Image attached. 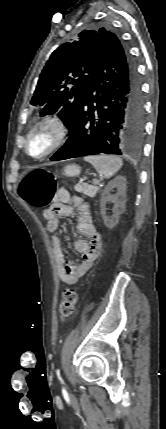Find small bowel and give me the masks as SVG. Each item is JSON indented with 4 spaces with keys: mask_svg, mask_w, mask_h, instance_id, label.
<instances>
[{
    "mask_svg": "<svg viewBox=\"0 0 166 429\" xmlns=\"http://www.w3.org/2000/svg\"><path fill=\"white\" fill-rule=\"evenodd\" d=\"M70 197L57 193L53 199V204L43 212L47 221V230L53 234L52 250L57 262V273L61 281L65 284H75L94 264L102 251V236L93 224L90 211L87 207H82L77 217L78 231L89 239H78L74 243L77 252L82 256L78 264L65 262L61 246V240L57 232L60 226V216H69L73 213V207L68 205Z\"/></svg>",
    "mask_w": 166,
    "mask_h": 429,
    "instance_id": "1",
    "label": "small bowel"
}]
</instances>
